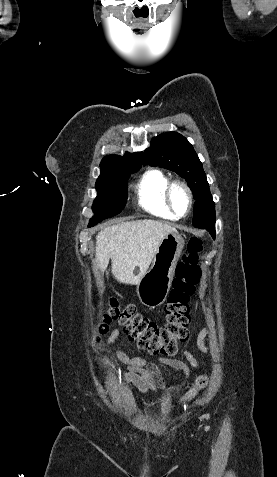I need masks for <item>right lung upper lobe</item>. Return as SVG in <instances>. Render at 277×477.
<instances>
[{
    "label": "right lung upper lobe",
    "instance_id": "obj_1",
    "mask_svg": "<svg viewBox=\"0 0 277 477\" xmlns=\"http://www.w3.org/2000/svg\"><path fill=\"white\" fill-rule=\"evenodd\" d=\"M142 153L126 152L124 156L108 155L100 163L101 172L111 169H139L142 166Z\"/></svg>",
    "mask_w": 277,
    "mask_h": 477
}]
</instances>
